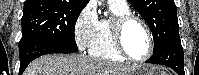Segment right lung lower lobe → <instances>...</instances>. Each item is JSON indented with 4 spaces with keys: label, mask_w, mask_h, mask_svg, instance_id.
Instances as JSON below:
<instances>
[{
    "label": "right lung lower lobe",
    "mask_w": 199,
    "mask_h": 75,
    "mask_svg": "<svg viewBox=\"0 0 199 75\" xmlns=\"http://www.w3.org/2000/svg\"><path fill=\"white\" fill-rule=\"evenodd\" d=\"M78 50L62 47L60 45L49 43L45 40H33L32 42L19 47L20 52V69H19V75H21L25 68L28 66V64L46 54H52V53H73L77 52Z\"/></svg>",
    "instance_id": "98d812e1"
}]
</instances>
